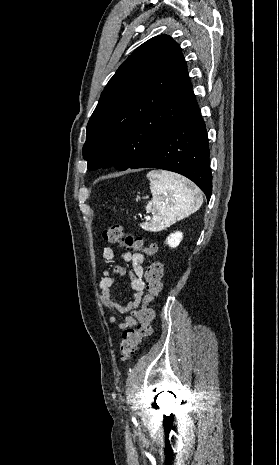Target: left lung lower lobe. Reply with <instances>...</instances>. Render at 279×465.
<instances>
[{
	"mask_svg": "<svg viewBox=\"0 0 279 465\" xmlns=\"http://www.w3.org/2000/svg\"><path fill=\"white\" fill-rule=\"evenodd\" d=\"M209 156L205 123L192 92L179 118L130 168H159L177 172L197 184L209 200L212 193Z\"/></svg>",
	"mask_w": 279,
	"mask_h": 465,
	"instance_id": "left-lung-lower-lobe-1",
	"label": "left lung lower lobe"
}]
</instances>
